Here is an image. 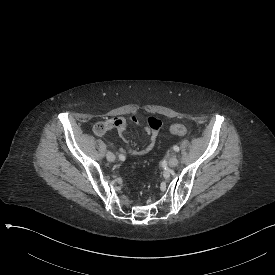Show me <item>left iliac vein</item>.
Returning <instances> with one entry per match:
<instances>
[{
	"label": "left iliac vein",
	"mask_w": 275,
	"mask_h": 275,
	"mask_svg": "<svg viewBox=\"0 0 275 275\" xmlns=\"http://www.w3.org/2000/svg\"><path fill=\"white\" fill-rule=\"evenodd\" d=\"M179 161L176 155H172L171 158L168 160V164L170 167H176L178 165Z\"/></svg>",
	"instance_id": "left-iliac-vein-1"
}]
</instances>
